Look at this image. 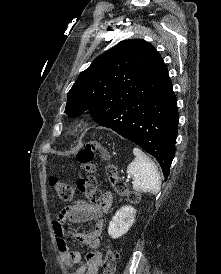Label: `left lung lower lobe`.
<instances>
[{"mask_svg":"<svg viewBox=\"0 0 221 274\" xmlns=\"http://www.w3.org/2000/svg\"><path fill=\"white\" fill-rule=\"evenodd\" d=\"M178 118L177 100L163 63L146 81L138 96L97 115L94 120L154 156L167 179L175 156Z\"/></svg>","mask_w":221,"mask_h":274,"instance_id":"left-lung-lower-lobe-1","label":"left lung lower lobe"}]
</instances>
